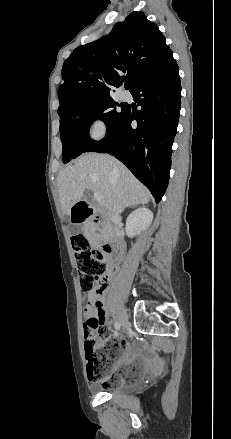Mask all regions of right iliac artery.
<instances>
[{"label":"right iliac artery","instance_id":"1","mask_svg":"<svg viewBox=\"0 0 231 439\" xmlns=\"http://www.w3.org/2000/svg\"><path fill=\"white\" fill-rule=\"evenodd\" d=\"M114 327L116 330L120 329V323L119 322H115Z\"/></svg>","mask_w":231,"mask_h":439}]
</instances>
